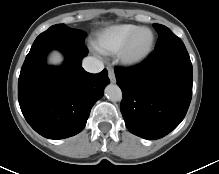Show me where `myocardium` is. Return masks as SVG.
<instances>
[{
	"label": "myocardium",
	"instance_id": "obj_1",
	"mask_svg": "<svg viewBox=\"0 0 219 174\" xmlns=\"http://www.w3.org/2000/svg\"><path fill=\"white\" fill-rule=\"evenodd\" d=\"M145 30L149 31L151 34V39L149 41V44L141 52H138V53L132 52V45H133L135 38L141 31H145ZM154 44H155V35L152 29H150L149 27H139L129 36V38L126 40V42L123 44V46L118 51L117 53L118 60L123 65L129 66V67L139 65L150 56V54L153 51Z\"/></svg>",
	"mask_w": 219,
	"mask_h": 174
}]
</instances>
